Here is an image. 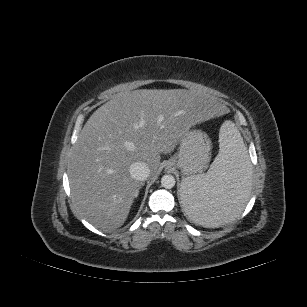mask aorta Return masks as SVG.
<instances>
[{
	"label": "aorta",
	"mask_w": 307,
	"mask_h": 307,
	"mask_svg": "<svg viewBox=\"0 0 307 307\" xmlns=\"http://www.w3.org/2000/svg\"><path fill=\"white\" fill-rule=\"evenodd\" d=\"M175 178L171 174H165L161 178V185L166 189H171L175 186Z\"/></svg>",
	"instance_id": "aorta-1"
}]
</instances>
